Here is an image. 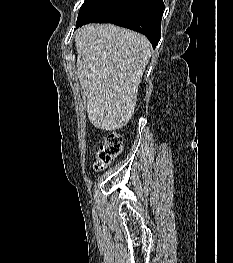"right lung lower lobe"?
Instances as JSON below:
<instances>
[{
	"label": "right lung lower lobe",
	"instance_id": "98d812e1",
	"mask_svg": "<svg viewBox=\"0 0 233 263\" xmlns=\"http://www.w3.org/2000/svg\"><path fill=\"white\" fill-rule=\"evenodd\" d=\"M164 10L162 0H126L107 20L98 23H113L144 34L155 48L161 38V19ZM96 21H91V23ZM90 22L80 21L76 27Z\"/></svg>",
	"mask_w": 233,
	"mask_h": 263
}]
</instances>
